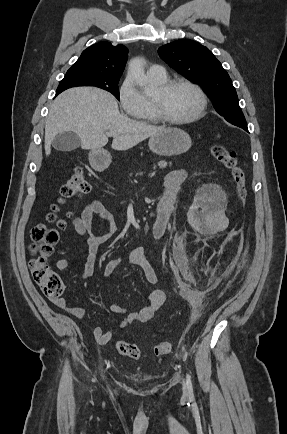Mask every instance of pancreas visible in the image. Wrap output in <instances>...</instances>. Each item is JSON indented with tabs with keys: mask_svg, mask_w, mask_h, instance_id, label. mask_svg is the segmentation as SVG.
I'll return each instance as SVG.
<instances>
[{
	"mask_svg": "<svg viewBox=\"0 0 287 434\" xmlns=\"http://www.w3.org/2000/svg\"><path fill=\"white\" fill-rule=\"evenodd\" d=\"M158 166H159L160 168L163 169V168H166L167 163H166L165 161H160V162L158 163ZM155 168H156V165H154L153 169H155ZM137 175L142 176L143 173H137L136 176H137Z\"/></svg>",
	"mask_w": 287,
	"mask_h": 434,
	"instance_id": "cf45deb5",
	"label": "pancreas"
}]
</instances>
